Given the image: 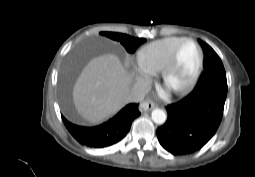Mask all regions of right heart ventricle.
<instances>
[{
    "mask_svg": "<svg viewBox=\"0 0 255 177\" xmlns=\"http://www.w3.org/2000/svg\"><path fill=\"white\" fill-rule=\"evenodd\" d=\"M183 37H168L144 46L139 52V59L149 68L160 70L170 59L176 46Z\"/></svg>",
    "mask_w": 255,
    "mask_h": 177,
    "instance_id": "right-heart-ventricle-1",
    "label": "right heart ventricle"
}]
</instances>
